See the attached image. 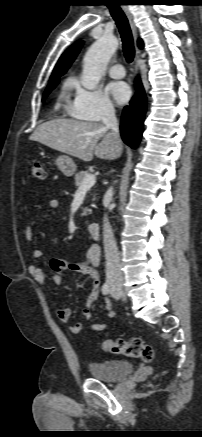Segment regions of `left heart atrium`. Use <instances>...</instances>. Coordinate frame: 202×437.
Instances as JSON below:
<instances>
[{"mask_svg":"<svg viewBox=\"0 0 202 437\" xmlns=\"http://www.w3.org/2000/svg\"><path fill=\"white\" fill-rule=\"evenodd\" d=\"M108 91L119 104L126 103L131 96L129 86L122 81L112 82L108 85Z\"/></svg>","mask_w":202,"mask_h":437,"instance_id":"left-heart-atrium-1","label":"left heart atrium"}]
</instances>
